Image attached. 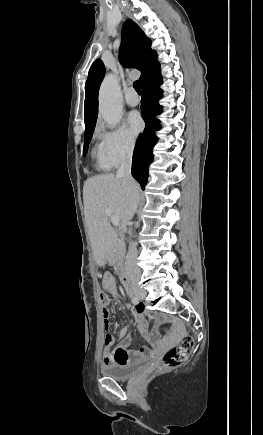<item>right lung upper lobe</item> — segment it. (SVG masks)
Here are the masks:
<instances>
[{
	"mask_svg": "<svg viewBox=\"0 0 263 435\" xmlns=\"http://www.w3.org/2000/svg\"><path fill=\"white\" fill-rule=\"evenodd\" d=\"M119 52V59L125 67L132 66L141 71L139 78L141 85L160 71L157 53L151 49V40L131 19L124 23ZM104 74V64L97 59L90 67L85 84V130L95 127L98 115V92Z\"/></svg>",
	"mask_w": 263,
	"mask_h": 435,
	"instance_id": "cb5924a9",
	"label": "right lung upper lobe"
}]
</instances>
